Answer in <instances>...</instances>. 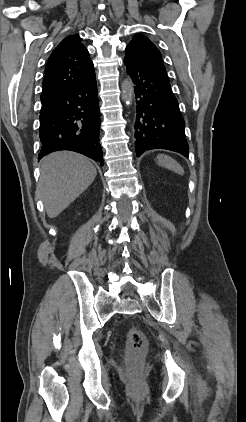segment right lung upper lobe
<instances>
[{
	"label": "right lung upper lobe",
	"mask_w": 246,
	"mask_h": 422,
	"mask_svg": "<svg viewBox=\"0 0 246 422\" xmlns=\"http://www.w3.org/2000/svg\"><path fill=\"white\" fill-rule=\"evenodd\" d=\"M95 76L88 51L78 34L63 39L52 51L45 68L41 102L81 85Z\"/></svg>",
	"instance_id": "cb5924a9"
}]
</instances>
